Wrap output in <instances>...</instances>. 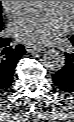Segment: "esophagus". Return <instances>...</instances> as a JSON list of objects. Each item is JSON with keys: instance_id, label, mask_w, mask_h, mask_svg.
Segmentation results:
<instances>
[{"instance_id": "34e87169", "label": "esophagus", "mask_w": 74, "mask_h": 122, "mask_svg": "<svg viewBox=\"0 0 74 122\" xmlns=\"http://www.w3.org/2000/svg\"><path fill=\"white\" fill-rule=\"evenodd\" d=\"M47 48L45 46H40V45H27L26 46V51L29 53H37V52H42L45 51Z\"/></svg>"}]
</instances>
